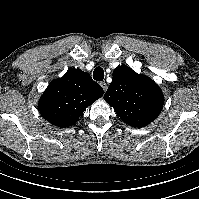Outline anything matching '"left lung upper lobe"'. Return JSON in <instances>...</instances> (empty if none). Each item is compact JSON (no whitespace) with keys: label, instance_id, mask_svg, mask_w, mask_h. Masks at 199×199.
I'll return each mask as SVG.
<instances>
[{"label":"left lung upper lobe","instance_id":"1","mask_svg":"<svg viewBox=\"0 0 199 199\" xmlns=\"http://www.w3.org/2000/svg\"><path fill=\"white\" fill-rule=\"evenodd\" d=\"M104 100L126 124L138 128L155 120L164 103L161 89L153 80L125 65L113 71Z\"/></svg>","mask_w":199,"mask_h":199}]
</instances>
